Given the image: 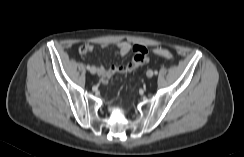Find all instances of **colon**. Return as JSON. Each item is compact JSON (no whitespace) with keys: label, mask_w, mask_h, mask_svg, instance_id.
Masks as SVG:
<instances>
[{"label":"colon","mask_w":244,"mask_h":157,"mask_svg":"<svg viewBox=\"0 0 244 157\" xmlns=\"http://www.w3.org/2000/svg\"><path fill=\"white\" fill-rule=\"evenodd\" d=\"M154 53L156 55H159L161 57H164L166 59H173V54L167 50V49H163V48H157L155 49ZM135 61H137L138 63L144 64L147 62L148 58H147V51L145 50H139L135 56H134Z\"/></svg>","instance_id":"5ec220e1"}]
</instances>
